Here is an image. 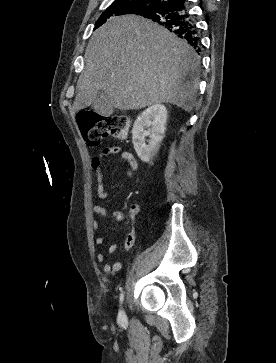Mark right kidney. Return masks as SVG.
I'll return each instance as SVG.
<instances>
[{
  "label": "right kidney",
  "mask_w": 276,
  "mask_h": 363,
  "mask_svg": "<svg viewBox=\"0 0 276 363\" xmlns=\"http://www.w3.org/2000/svg\"><path fill=\"white\" fill-rule=\"evenodd\" d=\"M167 122V109L162 104H155L143 111L136 119L132 129L134 149L143 162L150 160L157 154L163 140ZM144 131V128H149ZM149 137L148 145L145 137Z\"/></svg>",
  "instance_id": "right-kidney-1"
}]
</instances>
